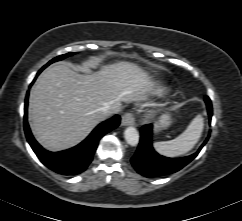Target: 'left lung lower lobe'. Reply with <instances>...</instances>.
Masks as SVG:
<instances>
[{
    "instance_id": "0a47b994",
    "label": "left lung lower lobe",
    "mask_w": 242,
    "mask_h": 221,
    "mask_svg": "<svg viewBox=\"0 0 242 221\" xmlns=\"http://www.w3.org/2000/svg\"><path fill=\"white\" fill-rule=\"evenodd\" d=\"M209 119L212 117V104L209 97H205ZM152 124L144 125L140 132L139 146L131 158V163L135 170L147 177H158L174 173L190 163L200 152L207 140L201 145L199 150L187 157L167 158L159 155L152 147Z\"/></svg>"
}]
</instances>
